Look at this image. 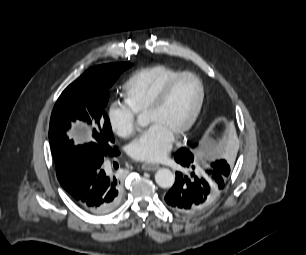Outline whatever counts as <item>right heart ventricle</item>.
Wrapping results in <instances>:
<instances>
[{
    "instance_id": "right-heart-ventricle-1",
    "label": "right heart ventricle",
    "mask_w": 306,
    "mask_h": 255,
    "mask_svg": "<svg viewBox=\"0 0 306 255\" xmlns=\"http://www.w3.org/2000/svg\"><path fill=\"white\" fill-rule=\"evenodd\" d=\"M180 72L162 64L137 70L124 84L125 102L137 113L146 112L158 92Z\"/></svg>"
}]
</instances>
